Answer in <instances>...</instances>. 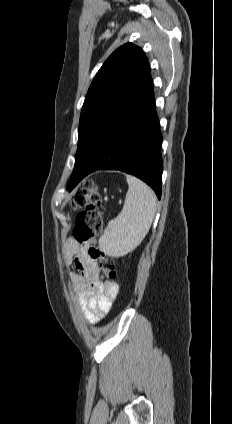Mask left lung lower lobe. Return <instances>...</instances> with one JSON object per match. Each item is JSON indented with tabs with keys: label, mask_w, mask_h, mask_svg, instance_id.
Listing matches in <instances>:
<instances>
[{
	"label": "left lung lower lobe",
	"mask_w": 232,
	"mask_h": 424,
	"mask_svg": "<svg viewBox=\"0 0 232 424\" xmlns=\"http://www.w3.org/2000/svg\"><path fill=\"white\" fill-rule=\"evenodd\" d=\"M162 136L149 76L94 143L85 168L71 176V191L85 176L100 169L120 170L146 182L161 197Z\"/></svg>",
	"instance_id": "obj_1"
}]
</instances>
